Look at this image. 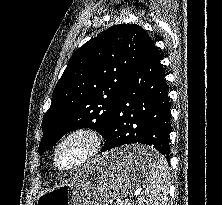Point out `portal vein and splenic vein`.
Listing matches in <instances>:
<instances>
[{
    "label": "portal vein and splenic vein",
    "instance_id": "obj_1",
    "mask_svg": "<svg viewBox=\"0 0 222 205\" xmlns=\"http://www.w3.org/2000/svg\"><path fill=\"white\" fill-rule=\"evenodd\" d=\"M142 193H143V189H142V188L136 189V190L133 192L132 197H138V196H140ZM125 202H128V199H126Z\"/></svg>",
    "mask_w": 222,
    "mask_h": 205
}]
</instances>
